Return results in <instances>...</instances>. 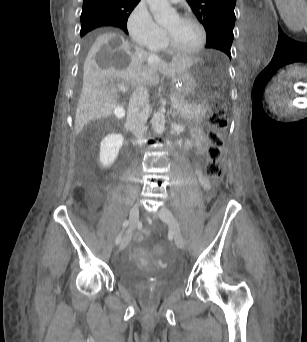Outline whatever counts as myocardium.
Masks as SVG:
<instances>
[{
  "mask_svg": "<svg viewBox=\"0 0 307 342\" xmlns=\"http://www.w3.org/2000/svg\"><path fill=\"white\" fill-rule=\"evenodd\" d=\"M179 20L182 22H193L200 28L202 37L199 44L193 49L178 50L170 46L167 37L164 35L162 50L168 54L176 56H192L200 53L207 46L208 43V30L205 23L200 18L194 15H182L179 16Z\"/></svg>",
  "mask_w": 307,
  "mask_h": 342,
  "instance_id": "obj_1",
  "label": "myocardium"
}]
</instances>
